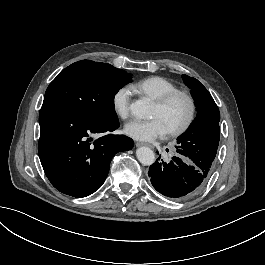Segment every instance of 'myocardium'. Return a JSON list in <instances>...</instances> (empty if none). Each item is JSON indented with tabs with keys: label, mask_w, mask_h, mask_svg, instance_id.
Masks as SVG:
<instances>
[{
	"label": "myocardium",
	"mask_w": 265,
	"mask_h": 265,
	"mask_svg": "<svg viewBox=\"0 0 265 265\" xmlns=\"http://www.w3.org/2000/svg\"><path fill=\"white\" fill-rule=\"evenodd\" d=\"M176 99H183L187 103L188 115H187L185 122L180 127L167 131V134L171 137L180 136L186 133L190 129V127L193 125L195 118H196V114H197V104H196L195 99L188 92L181 91V90L171 92L165 95L164 97L160 98L159 100L155 102V106L159 110H164L169 106V104H171Z\"/></svg>",
	"instance_id": "f54148a6"
}]
</instances>
